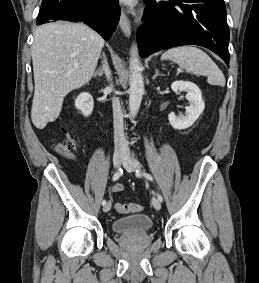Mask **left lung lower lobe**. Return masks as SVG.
Masks as SVG:
<instances>
[{"instance_id": "0a47b994", "label": "left lung lower lobe", "mask_w": 259, "mask_h": 283, "mask_svg": "<svg viewBox=\"0 0 259 283\" xmlns=\"http://www.w3.org/2000/svg\"><path fill=\"white\" fill-rule=\"evenodd\" d=\"M147 24L138 29L140 56L180 45H199L229 66V27L224 0H144Z\"/></svg>"}]
</instances>
